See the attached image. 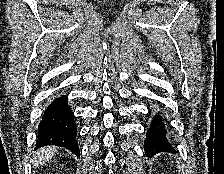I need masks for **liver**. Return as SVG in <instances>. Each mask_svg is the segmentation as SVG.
<instances>
[{"instance_id": "6515ba94", "label": "liver", "mask_w": 224, "mask_h": 174, "mask_svg": "<svg viewBox=\"0 0 224 174\" xmlns=\"http://www.w3.org/2000/svg\"><path fill=\"white\" fill-rule=\"evenodd\" d=\"M57 152V147L48 146L43 147L37 151V155L33 158L32 163L34 166H38L46 162Z\"/></svg>"}]
</instances>
